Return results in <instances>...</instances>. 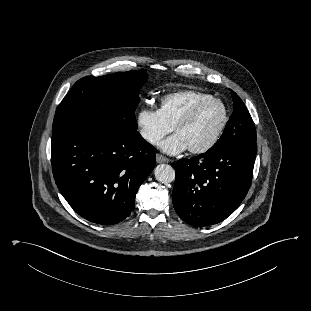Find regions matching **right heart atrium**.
I'll return each instance as SVG.
<instances>
[{"mask_svg":"<svg viewBox=\"0 0 311 311\" xmlns=\"http://www.w3.org/2000/svg\"><path fill=\"white\" fill-rule=\"evenodd\" d=\"M136 123L140 136L150 145H156L172 127L163 119L159 110L147 106L139 111Z\"/></svg>","mask_w":311,"mask_h":311,"instance_id":"obj_1","label":"right heart atrium"}]
</instances>
